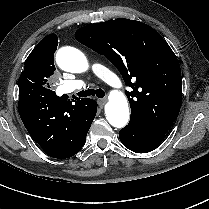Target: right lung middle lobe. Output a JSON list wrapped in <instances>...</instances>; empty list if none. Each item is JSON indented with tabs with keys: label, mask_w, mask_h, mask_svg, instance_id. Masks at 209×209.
<instances>
[{
	"label": "right lung middle lobe",
	"mask_w": 209,
	"mask_h": 209,
	"mask_svg": "<svg viewBox=\"0 0 209 209\" xmlns=\"http://www.w3.org/2000/svg\"><path fill=\"white\" fill-rule=\"evenodd\" d=\"M56 48L43 45L36 46L25 61L24 69L19 77V89L33 88L41 95L54 96L50 90V77L55 71L53 54Z\"/></svg>",
	"instance_id": "right-lung-middle-lobe-1"
}]
</instances>
